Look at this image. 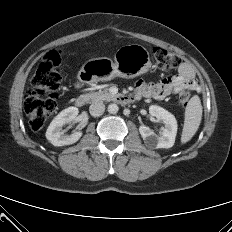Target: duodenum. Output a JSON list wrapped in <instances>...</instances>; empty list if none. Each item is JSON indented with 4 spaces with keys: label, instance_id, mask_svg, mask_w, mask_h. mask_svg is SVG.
I'll return each mask as SVG.
<instances>
[{
    "label": "duodenum",
    "instance_id": "1",
    "mask_svg": "<svg viewBox=\"0 0 232 232\" xmlns=\"http://www.w3.org/2000/svg\"><path fill=\"white\" fill-rule=\"evenodd\" d=\"M139 99H140V97L136 94L135 95H117V96H115V101L117 103L123 104V105L133 103ZM86 101H87L86 95H79L76 97L75 105L78 108H81L85 105Z\"/></svg>",
    "mask_w": 232,
    "mask_h": 232
}]
</instances>
